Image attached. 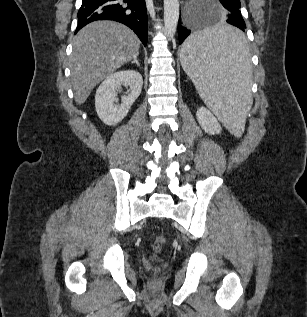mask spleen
Returning a JSON list of instances; mask_svg holds the SVG:
<instances>
[{"instance_id":"1","label":"spleen","mask_w":307,"mask_h":317,"mask_svg":"<svg viewBox=\"0 0 307 317\" xmlns=\"http://www.w3.org/2000/svg\"><path fill=\"white\" fill-rule=\"evenodd\" d=\"M180 61L199 96L234 136L252 104L248 37L234 26H203L187 38Z\"/></svg>"}]
</instances>
